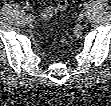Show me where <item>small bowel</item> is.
<instances>
[{
	"label": "small bowel",
	"mask_w": 111,
	"mask_h": 106,
	"mask_svg": "<svg viewBox=\"0 0 111 106\" xmlns=\"http://www.w3.org/2000/svg\"><path fill=\"white\" fill-rule=\"evenodd\" d=\"M68 5L67 0H60L56 3L55 6H47L41 12V17L44 20L52 18L58 11H64Z\"/></svg>",
	"instance_id": "obj_1"
}]
</instances>
